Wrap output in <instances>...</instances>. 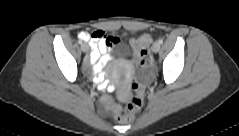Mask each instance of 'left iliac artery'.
I'll list each match as a JSON object with an SVG mask.
<instances>
[{"label":"left iliac artery","instance_id":"44dca946","mask_svg":"<svg viewBox=\"0 0 239 136\" xmlns=\"http://www.w3.org/2000/svg\"><path fill=\"white\" fill-rule=\"evenodd\" d=\"M158 42H159L160 44H162V43H163V39H159Z\"/></svg>","mask_w":239,"mask_h":136}]
</instances>
